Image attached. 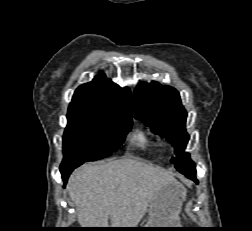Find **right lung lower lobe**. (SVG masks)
I'll return each mask as SVG.
<instances>
[{"label":"right lung lower lobe","instance_id":"right-lung-lower-lobe-1","mask_svg":"<svg viewBox=\"0 0 252 231\" xmlns=\"http://www.w3.org/2000/svg\"><path fill=\"white\" fill-rule=\"evenodd\" d=\"M75 168H76V167H69V168L60 170L64 183L67 182V179H68L69 175L71 174V172H72Z\"/></svg>","mask_w":252,"mask_h":231}]
</instances>
